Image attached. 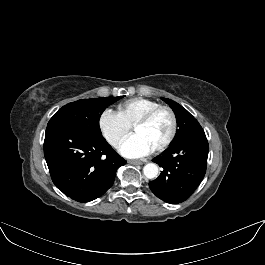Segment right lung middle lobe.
<instances>
[{
	"label": "right lung middle lobe",
	"instance_id": "1",
	"mask_svg": "<svg viewBox=\"0 0 265 265\" xmlns=\"http://www.w3.org/2000/svg\"><path fill=\"white\" fill-rule=\"evenodd\" d=\"M123 96L81 99L59 109L48 122L47 128L58 125L72 126L101 135L99 119L107 106Z\"/></svg>",
	"mask_w": 265,
	"mask_h": 265
}]
</instances>
